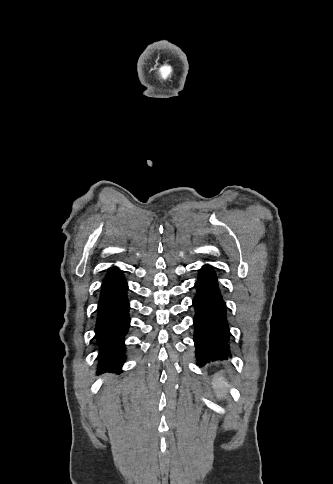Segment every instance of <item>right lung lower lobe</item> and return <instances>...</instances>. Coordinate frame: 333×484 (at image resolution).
Returning <instances> with one entry per match:
<instances>
[{
  "instance_id": "1",
  "label": "right lung lower lobe",
  "mask_w": 333,
  "mask_h": 484,
  "mask_svg": "<svg viewBox=\"0 0 333 484\" xmlns=\"http://www.w3.org/2000/svg\"><path fill=\"white\" fill-rule=\"evenodd\" d=\"M127 290L121 270L108 269L101 286L95 329L101 348L99 373L120 372L125 361L124 336L130 323Z\"/></svg>"
}]
</instances>
